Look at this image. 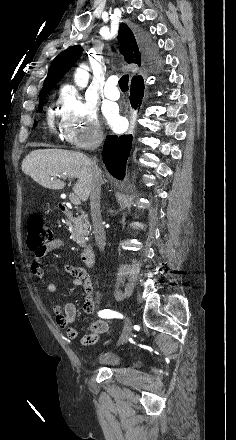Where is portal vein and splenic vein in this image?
<instances>
[{
    "label": "portal vein and splenic vein",
    "mask_w": 236,
    "mask_h": 440,
    "mask_svg": "<svg viewBox=\"0 0 236 440\" xmlns=\"http://www.w3.org/2000/svg\"><path fill=\"white\" fill-rule=\"evenodd\" d=\"M69 199H70V202L76 206L81 204L80 198L77 195H75L74 193H71L69 195Z\"/></svg>",
    "instance_id": "obj_1"
}]
</instances>
